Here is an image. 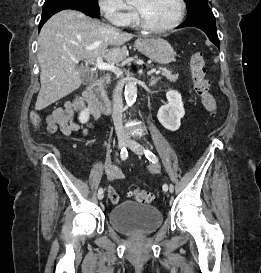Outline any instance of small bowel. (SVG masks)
Segmentation results:
<instances>
[{"label": "small bowel", "mask_w": 261, "mask_h": 273, "mask_svg": "<svg viewBox=\"0 0 261 273\" xmlns=\"http://www.w3.org/2000/svg\"><path fill=\"white\" fill-rule=\"evenodd\" d=\"M88 105L93 116L95 118L99 117V111L92 107L89 103ZM84 110L85 102L82 98H75L72 101L66 102L62 107L54 109L52 113L46 117V128L48 132L55 133L58 129H60L61 132L67 136L78 132L87 134L93 128L91 123L79 124L73 121L74 111ZM149 170L152 173H156L158 168L155 166H150ZM111 177L121 178L122 174L118 170H113ZM108 197L112 204L117 205L119 203V196L113 188H108Z\"/></svg>", "instance_id": "small-bowel-1"}]
</instances>
